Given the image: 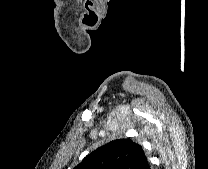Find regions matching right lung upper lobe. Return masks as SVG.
I'll return each instance as SVG.
<instances>
[{"mask_svg": "<svg viewBox=\"0 0 208 169\" xmlns=\"http://www.w3.org/2000/svg\"><path fill=\"white\" fill-rule=\"evenodd\" d=\"M74 169H150V166L139 144L117 139L88 154Z\"/></svg>", "mask_w": 208, "mask_h": 169, "instance_id": "obj_1", "label": "right lung upper lobe"}]
</instances>
